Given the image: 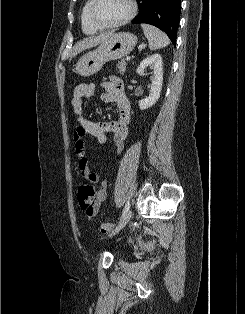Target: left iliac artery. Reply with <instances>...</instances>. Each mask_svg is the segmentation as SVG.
Masks as SVG:
<instances>
[{
	"label": "left iliac artery",
	"instance_id": "1",
	"mask_svg": "<svg viewBox=\"0 0 245 314\" xmlns=\"http://www.w3.org/2000/svg\"><path fill=\"white\" fill-rule=\"evenodd\" d=\"M129 207H130V204H129V202H128V203L125 205L124 209H123L121 219L123 218L124 214L129 210ZM121 219H120V220H121Z\"/></svg>",
	"mask_w": 245,
	"mask_h": 314
}]
</instances>
